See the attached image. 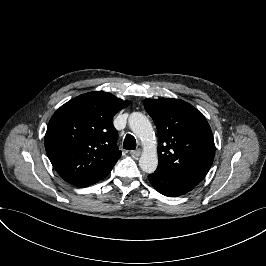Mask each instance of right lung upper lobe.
I'll return each mask as SVG.
<instances>
[{"label": "right lung upper lobe", "mask_w": 266, "mask_h": 266, "mask_svg": "<svg viewBox=\"0 0 266 266\" xmlns=\"http://www.w3.org/2000/svg\"><path fill=\"white\" fill-rule=\"evenodd\" d=\"M128 104L111 93L96 91L73 98L54 113L45 149L65 181L87 187L111 172L121 156L112 118Z\"/></svg>", "instance_id": "1"}]
</instances>
